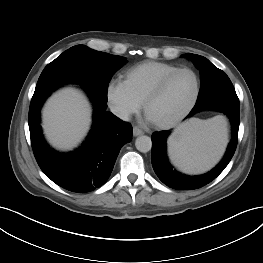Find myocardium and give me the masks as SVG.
Listing matches in <instances>:
<instances>
[{
  "mask_svg": "<svg viewBox=\"0 0 263 263\" xmlns=\"http://www.w3.org/2000/svg\"><path fill=\"white\" fill-rule=\"evenodd\" d=\"M182 72H190L194 78H195V91L194 94L191 98V100L189 101V103L187 104V106L175 117L166 120V121H161V122H153V124L158 127V128H170L174 125H176L177 123H179L181 120H183L194 108V106L196 105L199 95H200V91H201V81H200V77L198 75V73L189 67H182V68H178L172 72H170L169 74H167L166 76H164L158 83L157 85L150 91V93L146 96L144 102H143V109L145 114L147 115V111L149 106L151 105V103L156 100L161 93L163 92V90L165 89V87L167 86V84L170 82V80L172 78H174L176 75L182 73Z\"/></svg>",
  "mask_w": 263,
  "mask_h": 263,
  "instance_id": "myocardium-1",
  "label": "myocardium"
}]
</instances>
